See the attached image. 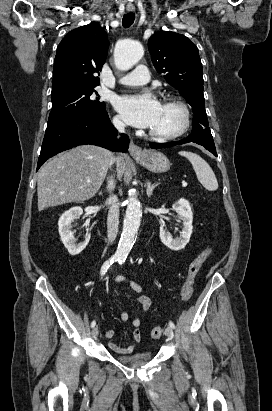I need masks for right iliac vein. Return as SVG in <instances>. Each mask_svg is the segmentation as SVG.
Returning a JSON list of instances; mask_svg holds the SVG:
<instances>
[{"label": "right iliac vein", "mask_w": 272, "mask_h": 411, "mask_svg": "<svg viewBox=\"0 0 272 411\" xmlns=\"http://www.w3.org/2000/svg\"><path fill=\"white\" fill-rule=\"evenodd\" d=\"M98 333H99L98 328H97V327H94V328L92 329L91 335H92V337L95 339V338H97Z\"/></svg>", "instance_id": "1"}]
</instances>
